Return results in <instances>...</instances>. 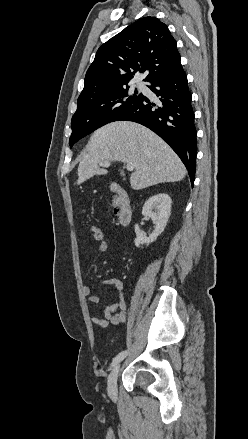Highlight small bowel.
<instances>
[{"instance_id": "1", "label": "small bowel", "mask_w": 248, "mask_h": 439, "mask_svg": "<svg viewBox=\"0 0 248 439\" xmlns=\"http://www.w3.org/2000/svg\"><path fill=\"white\" fill-rule=\"evenodd\" d=\"M98 250L100 252H106L108 250V243L106 241H101ZM103 285L111 286L115 288L118 293V300L112 304H107L104 306V316H92L91 322L100 328H106L109 325H119L126 321V303L122 294L123 281L118 277H113L100 282ZM82 293L86 300L90 303L97 304L100 302V297L91 294L90 288L87 285L82 286Z\"/></svg>"}]
</instances>
